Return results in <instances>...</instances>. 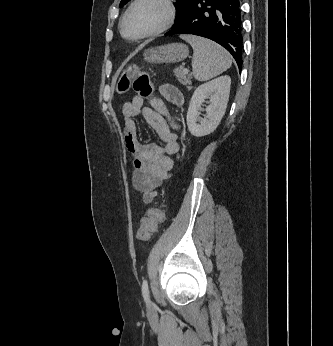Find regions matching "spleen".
I'll return each instance as SVG.
<instances>
[{"label": "spleen", "mask_w": 333, "mask_h": 346, "mask_svg": "<svg viewBox=\"0 0 333 346\" xmlns=\"http://www.w3.org/2000/svg\"><path fill=\"white\" fill-rule=\"evenodd\" d=\"M193 48L192 69L195 79L205 81L227 70L232 59L220 45L203 37L185 35L181 37Z\"/></svg>", "instance_id": "1"}]
</instances>
